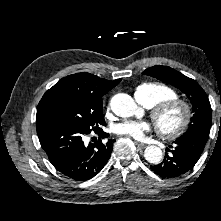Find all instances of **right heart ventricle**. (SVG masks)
<instances>
[{"mask_svg":"<svg viewBox=\"0 0 221 221\" xmlns=\"http://www.w3.org/2000/svg\"><path fill=\"white\" fill-rule=\"evenodd\" d=\"M135 95L139 102L145 106L153 107L156 104L177 97V92L170 86L159 82H146L140 84Z\"/></svg>","mask_w":221,"mask_h":221,"instance_id":"e07e8e85","label":"right heart ventricle"}]
</instances>
